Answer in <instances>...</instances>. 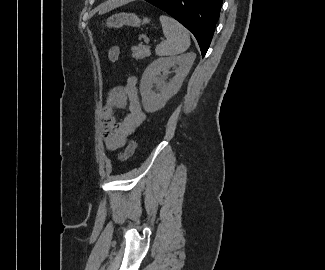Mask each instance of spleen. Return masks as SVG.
I'll return each instance as SVG.
<instances>
[{
	"mask_svg": "<svg viewBox=\"0 0 325 270\" xmlns=\"http://www.w3.org/2000/svg\"><path fill=\"white\" fill-rule=\"evenodd\" d=\"M160 22L166 40L157 45L158 56H174L184 53L190 46V35L185 27L172 17L161 15Z\"/></svg>",
	"mask_w": 325,
	"mask_h": 270,
	"instance_id": "obj_1",
	"label": "spleen"
}]
</instances>
